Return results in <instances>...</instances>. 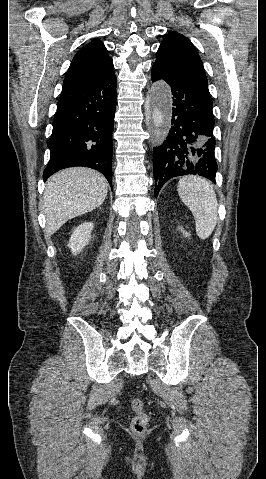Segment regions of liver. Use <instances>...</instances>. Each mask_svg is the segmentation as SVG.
Here are the masks:
<instances>
[{"label":"liver","mask_w":266,"mask_h":479,"mask_svg":"<svg viewBox=\"0 0 266 479\" xmlns=\"http://www.w3.org/2000/svg\"><path fill=\"white\" fill-rule=\"evenodd\" d=\"M107 191L106 179L93 169L74 167L51 176L43 200L48 235L54 234L68 220L98 208Z\"/></svg>","instance_id":"obj_1"}]
</instances>
